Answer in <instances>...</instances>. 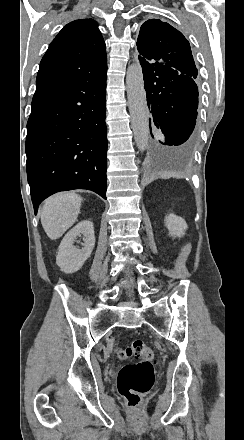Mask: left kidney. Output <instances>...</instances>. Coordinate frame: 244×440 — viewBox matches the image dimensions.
Instances as JSON below:
<instances>
[{"mask_svg": "<svg viewBox=\"0 0 244 440\" xmlns=\"http://www.w3.org/2000/svg\"><path fill=\"white\" fill-rule=\"evenodd\" d=\"M165 226L169 230V236H174V238H182L188 228L185 220L180 216H175V214L165 216Z\"/></svg>", "mask_w": 244, "mask_h": 440, "instance_id": "left-kidney-1", "label": "left kidney"}]
</instances>
